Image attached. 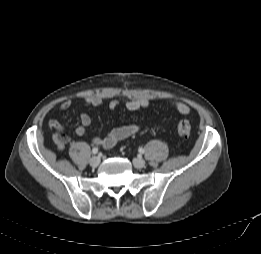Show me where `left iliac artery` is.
Segmentation results:
<instances>
[{
	"instance_id": "left-iliac-artery-1",
	"label": "left iliac artery",
	"mask_w": 261,
	"mask_h": 254,
	"mask_svg": "<svg viewBox=\"0 0 261 254\" xmlns=\"http://www.w3.org/2000/svg\"><path fill=\"white\" fill-rule=\"evenodd\" d=\"M139 152L140 153H144V149L143 148H139Z\"/></svg>"
}]
</instances>
